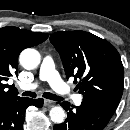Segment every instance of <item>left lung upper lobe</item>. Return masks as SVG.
Returning <instances> with one entry per match:
<instances>
[{
    "label": "left lung upper lobe",
    "instance_id": "obj_1",
    "mask_svg": "<svg viewBox=\"0 0 130 130\" xmlns=\"http://www.w3.org/2000/svg\"><path fill=\"white\" fill-rule=\"evenodd\" d=\"M67 79L74 77L83 99L103 103L114 111L123 93L124 71L118 51L91 33L60 31L51 35Z\"/></svg>",
    "mask_w": 130,
    "mask_h": 130
}]
</instances>
